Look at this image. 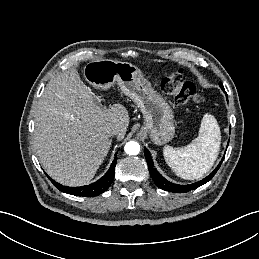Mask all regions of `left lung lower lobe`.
Returning a JSON list of instances; mask_svg holds the SVG:
<instances>
[{"instance_id":"1","label":"left lung lower lobe","mask_w":259,"mask_h":259,"mask_svg":"<svg viewBox=\"0 0 259 259\" xmlns=\"http://www.w3.org/2000/svg\"><path fill=\"white\" fill-rule=\"evenodd\" d=\"M226 93V92H225ZM145 157L147 160V164L149 167V172L150 175L152 177V179L154 180L155 184L166 191H170V192H175V193H184V192H188L191 190H194L198 187H200L201 185L207 183L208 181H210L212 179V177L215 175V173L217 172V170L219 169L223 159L221 160V162L219 163V165L216 167V169L206 178H204L201 181H198L197 183H193L190 185H178V184H174L169 182L168 180H166L153 166V161L151 159V155L150 152L145 148Z\"/></svg>"}]
</instances>
